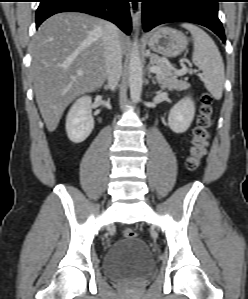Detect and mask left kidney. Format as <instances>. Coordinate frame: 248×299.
Returning <instances> with one entry per match:
<instances>
[{
  "instance_id": "obj_1",
  "label": "left kidney",
  "mask_w": 248,
  "mask_h": 299,
  "mask_svg": "<svg viewBox=\"0 0 248 299\" xmlns=\"http://www.w3.org/2000/svg\"><path fill=\"white\" fill-rule=\"evenodd\" d=\"M195 115V105L190 97L175 104L168 116V125L175 133H184L191 125Z\"/></svg>"
}]
</instances>
